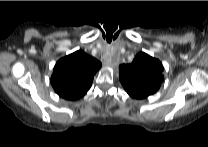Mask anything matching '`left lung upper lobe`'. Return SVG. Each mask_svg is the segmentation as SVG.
<instances>
[{
  "label": "left lung upper lobe",
  "instance_id": "obj_1",
  "mask_svg": "<svg viewBox=\"0 0 208 147\" xmlns=\"http://www.w3.org/2000/svg\"><path fill=\"white\" fill-rule=\"evenodd\" d=\"M162 63L141 52L130 64L119 66V79L126 92L144 97L154 94L160 87L164 76Z\"/></svg>",
  "mask_w": 208,
  "mask_h": 147
}]
</instances>
